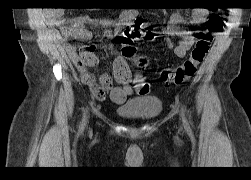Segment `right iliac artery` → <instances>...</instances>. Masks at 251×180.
<instances>
[{"mask_svg": "<svg viewBox=\"0 0 251 180\" xmlns=\"http://www.w3.org/2000/svg\"><path fill=\"white\" fill-rule=\"evenodd\" d=\"M84 122H85V119H83V121H82V126L84 125Z\"/></svg>", "mask_w": 251, "mask_h": 180, "instance_id": "obj_1", "label": "right iliac artery"}]
</instances>
